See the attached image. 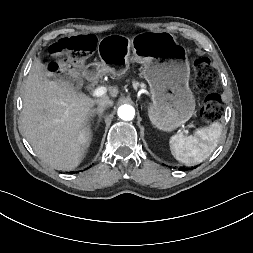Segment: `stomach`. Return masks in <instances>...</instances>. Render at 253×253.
<instances>
[{
    "label": "stomach",
    "instance_id": "1",
    "mask_svg": "<svg viewBox=\"0 0 253 253\" xmlns=\"http://www.w3.org/2000/svg\"><path fill=\"white\" fill-rule=\"evenodd\" d=\"M97 50L100 62L91 65L96 75H123L132 61L144 66L143 76L152 98L149 117L155 127L172 131L193 116L195 98L189 88V63L172 34L151 33L132 39L112 34L98 42Z\"/></svg>",
    "mask_w": 253,
    "mask_h": 253
}]
</instances>
